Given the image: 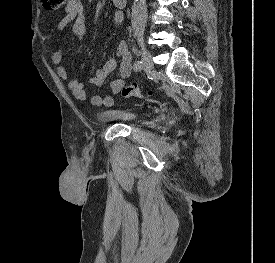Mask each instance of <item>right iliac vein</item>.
<instances>
[{
    "mask_svg": "<svg viewBox=\"0 0 275 263\" xmlns=\"http://www.w3.org/2000/svg\"><path fill=\"white\" fill-rule=\"evenodd\" d=\"M139 47H140V54H141V59L143 61V66L146 71L151 70L152 68V56L150 52L146 49L143 41L139 40Z\"/></svg>",
    "mask_w": 275,
    "mask_h": 263,
    "instance_id": "63e3f726",
    "label": "right iliac vein"
}]
</instances>
